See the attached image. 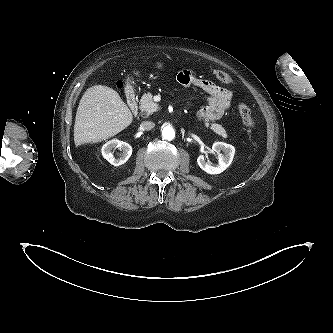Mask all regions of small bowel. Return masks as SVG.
Instances as JSON below:
<instances>
[{
  "label": "small bowel",
  "instance_id": "obj_1",
  "mask_svg": "<svg viewBox=\"0 0 333 333\" xmlns=\"http://www.w3.org/2000/svg\"><path fill=\"white\" fill-rule=\"evenodd\" d=\"M177 81L185 87H197L208 95L207 105L200 110L199 118L203 121L217 120L230 108L232 92L222 88L208 79L198 76L192 70H182Z\"/></svg>",
  "mask_w": 333,
  "mask_h": 333
}]
</instances>
